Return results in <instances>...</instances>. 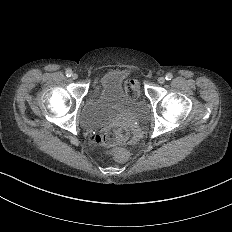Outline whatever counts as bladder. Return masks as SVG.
I'll use <instances>...</instances> for the list:
<instances>
[{
  "mask_svg": "<svg viewBox=\"0 0 232 232\" xmlns=\"http://www.w3.org/2000/svg\"><path fill=\"white\" fill-rule=\"evenodd\" d=\"M128 71L114 69L103 73L98 80V91L88 95L79 113L83 128L95 130L121 116H130L144 121L148 118L149 108L141 98L130 97L123 84Z\"/></svg>",
  "mask_w": 232,
  "mask_h": 232,
  "instance_id": "obj_1",
  "label": "bladder"
}]
</instances>
